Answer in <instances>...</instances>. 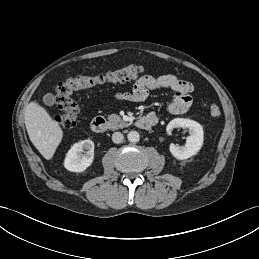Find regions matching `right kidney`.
Instances as JSON below:
<instances>
[{
    "label": "right kidney",
    "mask_w": 259,
    "mask_h": 259,
    "mask_svg": "<svg viewBox=\"0 0 259 259\" xmlns=\"http://www.w3.org/2000/svg\"><path fill=\"white\" fill-rule=\"evenodd\" d=\"M94 147L90 139L75 143L66 154L64 167L71 172L85 171L94 160Z\"/></svg>",
    "instance_id": "ca27d5eb"
}]
</instances>
